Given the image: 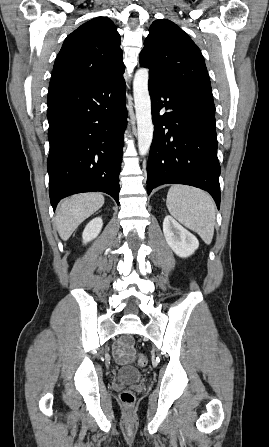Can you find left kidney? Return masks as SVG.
Returning a JSON list of instances; mask_svg holds the SVG:
<instances>
[{
  "label": "left kidney",
  "instance_id": "obj_1",
  "mask_svg": "<svg viewBox=\"0 0 269 447\" xmlns=\"http://www.w3.org/2000/svg\"><path fill=\"white\" fill-rule=\"evenodd\" d=\"M163 233L168 245L179 257H188L199 247L197 237L178 224L172 216L164 218Z\"/></svg>",
  "mask_w": 269,
  "mask_h": 447
}]
</instances>
